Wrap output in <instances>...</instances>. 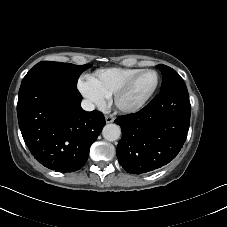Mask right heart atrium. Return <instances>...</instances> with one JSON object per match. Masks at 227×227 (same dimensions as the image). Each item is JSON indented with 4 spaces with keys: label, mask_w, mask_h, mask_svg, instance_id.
<instances>
[{
    "label": "right heart atrium",
    "mask_w": 227,
    "mask_h": 227,
    "mask_svg": "<svg viewBox=\"0 0 227 227\" xmlns=\"http://www.w3.org/2000/svg\"><path fill=\"white\" fill-rule=\"evenodd\" d=\"M82 95L93 105L102 108L106 104L107 97L97 90L90 81L81 82L79 85Z\"/></svg>",
    "instance_id": "d8ad5b80"
}]
</instances>
